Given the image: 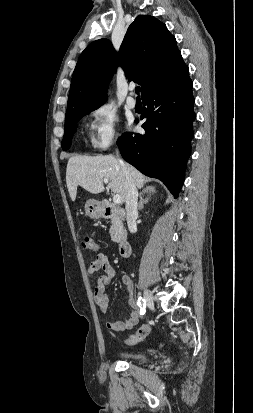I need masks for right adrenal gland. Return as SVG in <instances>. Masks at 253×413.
I'll return each instance as SVG.
<instances>
[{
  "mask_svg": "<svg viewBox=\"0 0 253 413\" xmlns=\"http://www.w3.org/2000/svg\"><path fill=\"white\" fill-rule=\"evenodd\" d=\"M154 193L155 191H143L140 193L139 210L143 209L144 204L148 203ZM144 194H147V197L145 199L143 198Z\"/></svg>",
  "mask_w": 253,
  "mask_h": 413,
  "instance_id": "2a0ac1e0",
  "label": "right adrenal gland"
}]
</instances>
